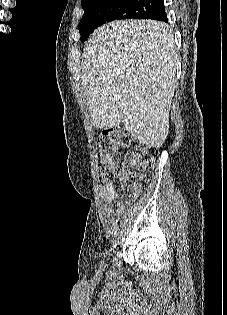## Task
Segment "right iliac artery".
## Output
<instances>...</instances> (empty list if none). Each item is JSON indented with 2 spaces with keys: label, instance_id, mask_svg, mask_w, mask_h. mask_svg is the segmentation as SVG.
I'll return each instance as SVG.
<instances>
[{
  "label": "right iliac artery",
  "instance_id": "1",
  "mask_svg": "<svg viewBox=\"0 0 227 315\" xmlns=\"http://www.w3.org/2000/svg\"><path fill=\"white\" fill-rule=\"evenodd\" d=\"M118 231H119V229H118L117 226L113 228V234H114V235H117V234H118Z\"/></svg>",
  "mask_w": 227,
  "mask_h": 315
}]
</instances>
